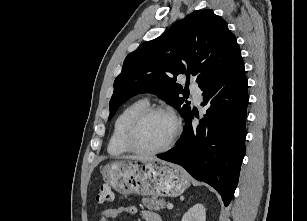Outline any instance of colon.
<instances>
[{
  "instance_id": "5ec220e1",
  "label": "colon",
  "mask_w": 307,
  "mask_h": 221,
  "mask_svg": "<svg viewBox=\"0 0 307 221\" xmlns=\"http://www.w3.org/2000/svg\"><path fill=\"white\" fill-rule=\"evenodd\" d=\"M113 201V192L110 186L104 184L101 185L98 189L96 195V202L98 204H105Z\"/></svg>"
}]
</instances>
